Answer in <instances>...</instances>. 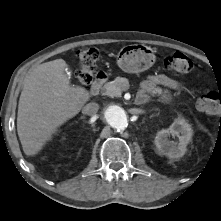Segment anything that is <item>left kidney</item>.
Here are the masks:
<instances>
[{"label":"left kidney","instance_id":"1","mask_svg":"<svg viewBox=\"0 0 221 221\" xmlns=\"http://www.w3.org/2000/svg\"><path fill=\"white\" fill-rule=\"evenodd\" d=\"M192 134L191 125L184 118L178 117L168 129L157 132L154 142L159 153L169 158H179L185 154ZM170 135L177 136L179 140L177 142L170 141L168 139Z\"/></svg>","mask_w":221,"mask_h":221}]
</instances>
